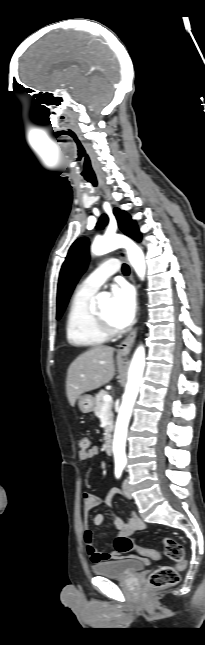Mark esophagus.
I'll list each match as a JSON object with an SVG mask.
<instances>
[{"label":"esophagus","instance_id":"1","mask_svg":"<svg viewBox=\"0 0 205 645\" xmlns=\"http://www.w3.org/2000/svg\"><path fill=\"white\" fill-rule=\"evenodd\" d=\"M121 254H122L123 256H126L125 251H122V252H121ZM131 279H132L133 283L135 284V280H134V277H133V273H131ZM135 287H136V290H137L138 288H137L136 284H135ZM137 295H138V290H137ZM136 336H137V329L135 328V329H134V330H133V331H132V332H131V333H130V334H129V335H128V336H127V337H126L122 342H121V344H120V345H119V347H118V353H119V354H122V355H126V354H128V353L130 352V350H131L132 346H133V343H134V341H135Z\"/></svg>","mask_w":205,"mask_h":645}]
</instances>
